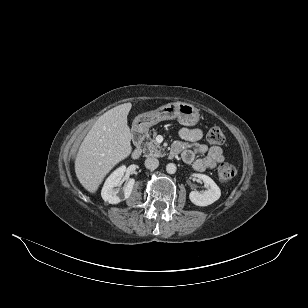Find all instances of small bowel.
Segmentation results:
<instances>
[{"label": "small bowel", "instance_id": "1", "mask_svg": "<svg viewBox=\"0 0 308 308\" xmlns=\"http://www.w3.org/2000/svg\"><path fill=\"white\" fill-rule=\"evenodd\" d=\"M180 141L174 143L176 154H180L183 161L196 171L203 172L215 168L223 162V151L219 146H211L200 143L203 132L198 128L183 127L179 131ZM202 155V157H198Z\"/></svg>", "mask_w": 308, "mask_h": 308}]
</instances>
